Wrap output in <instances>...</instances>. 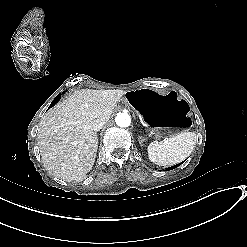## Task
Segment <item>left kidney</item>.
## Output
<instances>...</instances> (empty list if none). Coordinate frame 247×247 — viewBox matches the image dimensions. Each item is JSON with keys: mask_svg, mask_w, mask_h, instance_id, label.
Returning <instances> with one entry per match:
<instances>
[{"mask_svg": "<svg viewBox=\"0 0 247 247\" xmlns=\"http://www.w3.org/2000/svg\"><path fill=\"white\" fill-rule=\"evenodd\" d=\"M145 141V138L144 137H139V142H140V144L142 145L143 144V142Z\"/></svg>", "mask_w": 247, "mask_h": 247, "instance_id": "1", "label": "left kidney"}]
</instances>
